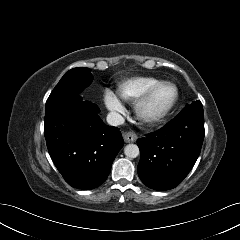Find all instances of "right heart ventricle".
<instances>
[{
  "mask_svg": "<svg viewBox=\"0 0 240 240\" xmlns=\"http://www.w3.org/2000/svg\"><path fill=\"white\" fill-rule=\"evenodd\" d=\"M162 82L161 79L152 76L132 77L122 81L117 88L119 97L126 102H135L150 87Z\"/></svg>",
  "mask_w": 240,
  "mask_h": 240,
  "instance_id": "right-heart-ventricle-1",
  "label": "right heart ventricle"
}]
</instances>
